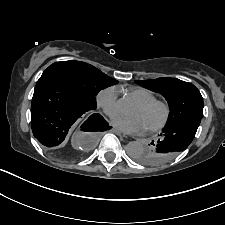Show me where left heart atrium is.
Instances as JSON below:
<instances>
[{"label": "left heart atrium", "instance_id": "left-heart-atrium-1", "mask_svg": "<svg viewBox=\"0 0 225 225\" xmlns=\"http://www.w3.org/2000/svg\"><path fill=\"white\" fill-rule=\"evenodd\" d=\"M113 123L121 130L134 134L142 133L148 128L140 116L126 117L117 115L113 118Z\"/></svg>", "mask_w": 225, "mask_h": 225}]
</instances>
